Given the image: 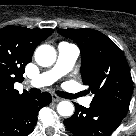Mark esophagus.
<instances>
[{"label": "esophagus", "mask_w": 136, "mask_h": 136, "mask_svg": "<svg viewBox=\"0 0 136 136\" xmlns=\"http://www.w3.org/2000/svg\"><path fill=\"white\" fill-rule=\"evenodd\" d=\"M52 100L54 102H60L62 101V98L58 97L56 94H52Z\"/></svg>", "instance_id": "34e87169"}]
</instances>
